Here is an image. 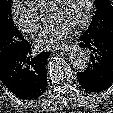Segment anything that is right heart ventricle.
<instances>
[{"mask_svg": "<svg viewBox=\"0 0 113 113\" xmlns=\"http://www.w3.org/2000/svg\"><path fill=\"white\" fill-rule=\"evenodd\" d=\"M52 0H29L28 2L38 11L41 12L48 7Z\"/></svg>", "mask_w": 113, "mask_h": 113, "instance_id": "obj_1", "label": "right heart ventricle"}]
</instances>
